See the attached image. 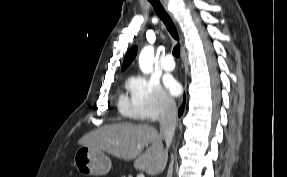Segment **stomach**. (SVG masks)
I'll return each mask as SVG.
<instances>
[{
    "label": "stomach",
    "mask_w": 287,
    "mask_h": 177,
    "mask_svg": "<svg viewBox=\"0 0 287 177\" xmlns=\"http://www.w3.org/2000/svg\"><path fill=\"white\" fill-rule=\"evenodd\" d=\"M74 165L84 175L102 176L111 169V160L103 151L80 146L74 154Z\"/></svg>",
    "instance_id": "0dacf381"
}]
</instances>
